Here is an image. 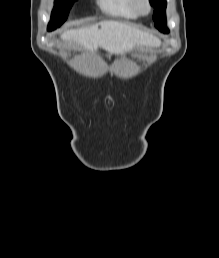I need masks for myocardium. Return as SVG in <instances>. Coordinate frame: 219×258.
<instances>
[{
	"instance_id": "myocardium-1",
	"label": "myocardium",
	"mask_w": 219,
	"mask_h": 258,
	"mask_svg": "<svg viewBox=\"0 0 219 258\" xmlns=\"http://www.w3.org/2000/svg\"><path fill=\"white\" fill-rule=\"evenodd\" d=\"M136 11L139 15H148L152 11L150 0H134Z\"/></svg>"
}]
</instances>
